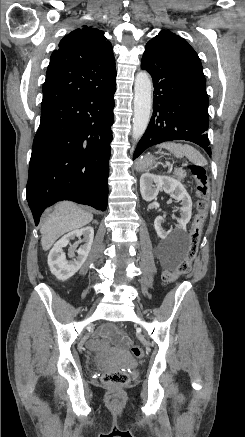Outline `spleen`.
Returning a JSON list of instances; mask_svg holds the SVG:
<instances>
[{"instance_id": "1", "label": "spleen", "mask_w": 245, "mask_h": 437, "mask_svg": "<svg viewBox=\"0 0 245 437\" xmlns=\"http://www.w3.org/2000/svg\"><path fill=\"white\" fill-rule=\"evenodd\" d=\"M158 148H165L171 151L174 156L178 158L187 157L191 162L197 166H204L207 164L204 156L189 144H180L175 142H164L157 146Z\"/></svg>"}]
</instances>
